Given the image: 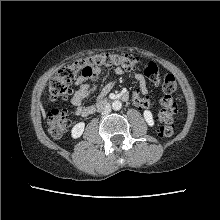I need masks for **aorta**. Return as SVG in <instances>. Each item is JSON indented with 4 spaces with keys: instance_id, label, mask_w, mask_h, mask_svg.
Segmentation results:
<instances>
[{
    "instance_id": "aorta-1",
    "label": "aorta",
    "mask_w": 220,
    "mask_h": 220,
    "mask_svg": "<svg viewBox=\"0 0 220 220\" xmlns=\"http://www.w3.org/2000/svg\"><path fill=\"white\" fill-rule=\"evenodd\" d=\"M122 107V103L119 100L112 102V109L115 111L120 110Z\"/></svg>"
}]
</instances>
